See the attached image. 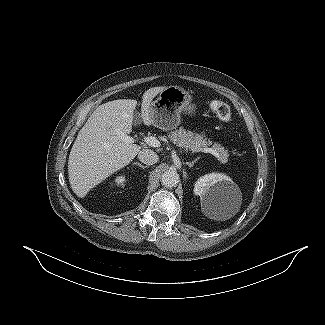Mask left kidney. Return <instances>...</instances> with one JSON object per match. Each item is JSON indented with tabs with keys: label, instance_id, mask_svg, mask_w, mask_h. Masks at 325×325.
<instances>
[{
	"label": "left kidney",
	"instance_id": "5707ae66",
	"mask_svg": "<svg viewBox=\"0 0 325 325\" xmlns=\"http://www.w3.org/2000/svg\"><path fill=\"white\" fill-rule=\"evenodd\" d=\"M236 188L226 175L211 173L202 176L194 186V193L200 196L201 204L225 205L224 200L231 196Z\"/></svg>",
	"mask_w": 325,
	"mask_h": 325
}]
</instances>
